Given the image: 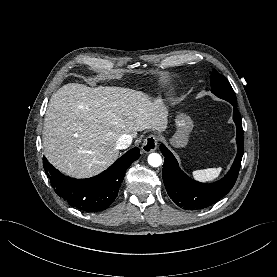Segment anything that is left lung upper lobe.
I'll use <instances>...</instances> for the list:
<instances>
[{
    "label": "left lung upper lobe",
    "mask_w": 277,
    "mask_h": 277,
    "mask_svg": "<svg viewBox=\"0 0 277 277\" xmlns=\"http://www.w3.org/2000/svg\"><path fill=\"white\" fill-rule=\"evenodd\" d=\"M211 92L231 104L237 105L235 93L228 80L215 69L211 72Z\"/></svg>",
    "instance_id": "1"
}]
</instances>
